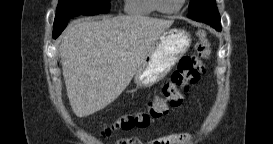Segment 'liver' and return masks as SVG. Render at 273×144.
Instances as JSON below:
<instances>
[{
  "instance_id": "6515ba94",
  "label": "liver",
  "mask_w": 273,
  "mask_h": 144,
  "mask_svg": "<svg viewBox=\"0 0 273 144\" xmlns=\"http://www.w3.org/2000/svg\"><path fill=\"white\" fill-rule=\"evenodd\" d=\"M172 24L173 20L139 15L73 21L59 52L75 115L87 117L117 99L151 46Z\"/></svg>"
}]
</instances>
